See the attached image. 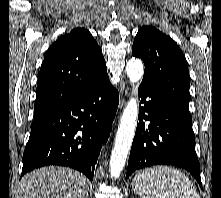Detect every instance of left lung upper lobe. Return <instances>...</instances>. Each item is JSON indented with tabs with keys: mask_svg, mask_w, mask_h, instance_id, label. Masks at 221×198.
I'll list each match as a JSON object with an SVG mask.
<instances>
[{
	"mask_svg": "<svg viewBox=\"0 0 221 198\" xmlns=\"http://www.w3.org/2000/svg\"><path fill=\"white\" fill-rule=\"evenodd\" d=\"M132 54L144 62L142 82L152 85L176 107L190 114L189 71L178 45L156 28L143 26L135 37Z\"/></svg>",
	"mask_w": 221,
	"mask_h": 198,
	"instance_id": "1",
	"label": "left lung upper lobe"
}]
</instances>
